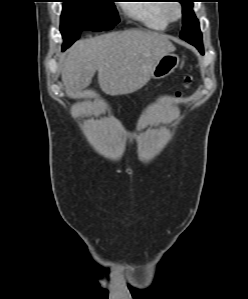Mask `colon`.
Returning <instances> with one entry per match:
<instances>
[{
	"label": "colon",
	"mask_w": 248,
	"mask_h": 299,
	"mask_svg": "<svg viewBox=\"0 0 248 299\" xmlns=\"http://www.w3.org/2000/svg\"><path fill=\"white\" fill-rule=\"evenodd\" d=\"M191 81H192V79H191V77H186L185 79H184V87H187L190 83H191ZM182 90H178L177 92H176V96L177 97H180L181 95H182Z\"/></svg>",
	"instance_id": "1"
}]
</instances>
